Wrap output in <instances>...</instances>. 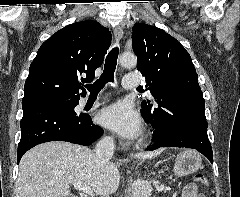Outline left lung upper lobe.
Here are the masks:
<instances>
[{
    "instance_id": "1",
    "label": "left lung upper lobe",
    "mask_w": 240,
    "mask_h": 197,
    "mask_svg": "<svg viewBox=\"0 0 240 197\" xmlns=\"http://www.w3.org/2000/svg\"><path fill=\"white\" fill-rule=\"evenodd\" d=\"M132 42L138 71L145 76L146 86L157 103L142 101L144 115L173 107L185 96L203 99L192 59L177 39L157 27L136 23Z\"/></svg>"
}]
</instances>
